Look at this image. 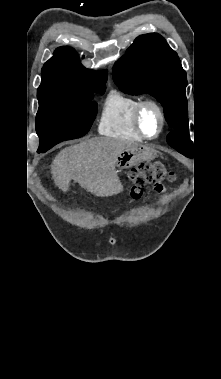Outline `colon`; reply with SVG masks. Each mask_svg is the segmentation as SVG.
I'll return each instance as SVG.
<instances>
[{
  "label": "colon",
  "instance_id": "obj_1",
  "mask_svg": "<svg viewBox=\"0 0 221 379\" xmlns=\"http://www.w3.org/2000/svg\"><path fill=\"white\" fill-rule=\"evenodd\" d=\"M128 192L130 200H138L144 194V188L152 186L156 191L162 190L164 181H173L175 175L160 162H146L132 168L129 173Z\"/></svg>",
  "mask_w": 221,
  "mask_h": 379
}]
</instances>
